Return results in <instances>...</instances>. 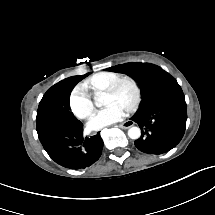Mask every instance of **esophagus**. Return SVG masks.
Instances as JSON below:
<instances>
[{
  "instance_id": "34e87169",
  "label": "esophagus",
  "mask_w": 215,
  "mask_h": 215,
  "mask_svg": "<svg viewBox=\"0 0 215 215\" xmlns=\"http://www.w3.org/2000/svg\"><path fill=\"white\" fill-rule=\"evenodd\" d=\"M133 125H134V121H132V120H127V121L121 123L119 126H120V128H122V129H127V128L132 127Z\"/></svg>"
}]
</instances>
